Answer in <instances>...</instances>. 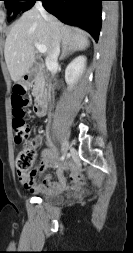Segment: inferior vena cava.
Instances as JSON below:
<instances>
[{
  "instance_id": "obj_1",
  "label": "inferior vena cava",
  "mask_w": 133,
  "mask_h": 253,
  "mask_svg": "<svg viewBox=\"0 0 133 253\" xmlns=\"http://www.w3.org/2000/svg\"><path fill=\"white\" fill-rule=\"evenodd\" d=\"M35 8L40 12L42 17L47 21L49 29L51 30L52 49L46 57V63L51 67H55L58 65V57L60 53V39H59L57 28L55 26V23L52 20V17L48 15L46 10L44 9L41 1L36 2Z\"/></svg>"
}]
</instances>
